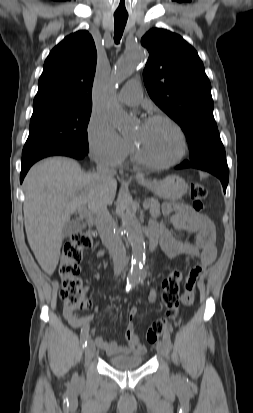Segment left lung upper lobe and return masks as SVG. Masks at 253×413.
<instances>
[{
	"label": "left lung upper lobe",
	"instance_id": "5c2ea615",
	"mask_svg": "<svg viewBox=\"0 0 253 413\" xmlns=\"http://www.w3.org/2000/svg\"><path fill=\"white\" fill-rule=\"evenodd\" d=\"M149 51L143 79L151 99L184 131L190 162L226 157L213 116L211 84L196 50L165 29L141 39Z\"/></svg>",
	"mask_w": 253,
	"mask_h": 413
}]
</instances>
